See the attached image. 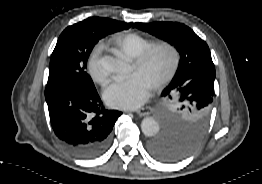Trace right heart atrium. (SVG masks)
<instances>
[{"label": "right heart atrium", "instance_id": "d8ad5b80", "mask_svg": "<svg viewBox=\"0 0 262 184\" xmlns=\"http://www.w3.org/2000/svg\"><path fill=\"white\" fill-rule=\"evenodd\" d=\"M87 71L91 80L102 87H106L112 79V71L108 60L101 55L100 48L96 47L90 54Z\"/></svg>", "mask_w": 262, "mask_h": 184}]
</instances>
